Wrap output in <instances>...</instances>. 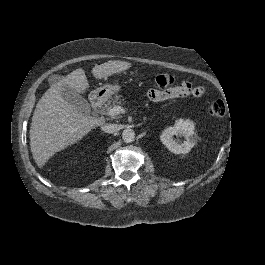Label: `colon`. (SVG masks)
<instances>
[{
	"label": "colon",
	"instance_id": "colon-1",
	"mask_svg": "<svg viewBox=\"0 0 265 265\" xmlns=\"http://www.w3.org/2000/svg\"><path fill=\"white\" fill-rule=\"evenodd\" d=\"M175 78L170 74H160L156 77V84L161 88H169L174 85ZM209 113L213 117L221 118L227 113V107L221 100L213 102L209 107Z\"/></svg>",
	"mask_w": 265,
	"mask_h": 265
}]
</instances>
